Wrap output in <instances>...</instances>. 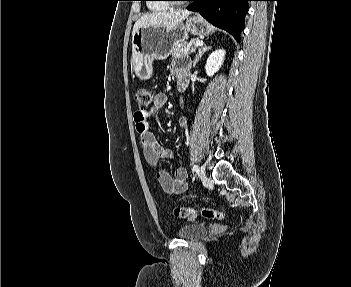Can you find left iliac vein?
Returning <instances> with one entry per match:
<instances>
[{
	"mask_svg": "<svg viewBox=\"0 0 351 287\" xmlns=\"http://www.w3.org/2000/svg\"><path fill=\"white\" fill-rule=\"evenodd\" d=\"M198 174H199V177H200L201 179L205 178V169H204V167L201 166V167L199 168Z\"/></svg>",
	"mask_w": 351,
	"mask_h": 287,
	"instance_id": "1",
	"label": "left iliac vein"
}]
</instances>
